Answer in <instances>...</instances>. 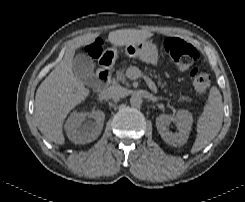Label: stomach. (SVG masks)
<instances>
[{"label":"stomach","mask_w":245,"mask_h":202,"mask_svg":"<svg viewBox=\"0 0 245 202\" xmlns=\"http://www.w3.org/2000/svg\"><path fill=\"white\" fill-rule=\"evenodd\" d=\"M116 54V49H111ZM125 53L129 57H138L140 60L153 66L158 65V49L151 41H142L125 46Z\"/></svg>","instance_id":"obj_1"}]
</instances>
